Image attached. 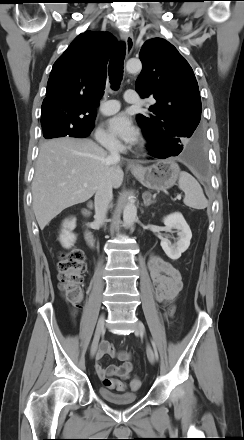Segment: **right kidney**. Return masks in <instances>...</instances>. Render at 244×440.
Listing matches in <instances>:
<instances>
[{
  "mask_svg": "<svg viewBox=\"0 0 244 440\" xmlns=\"http://www.w3.org/2000/svg\"><path fill=\"white\" fill-rule=\"evenodd\" d=\"M76 227V219L67 220L63 223L62 233L60 235V242L65 248H70L76 240V236L72 230Z\"/></svg>",
  "mask_w": 244,
  "mask_h": 440,
  "instance_id": "1",
  "label": "right kidney"
}]
</instances>
